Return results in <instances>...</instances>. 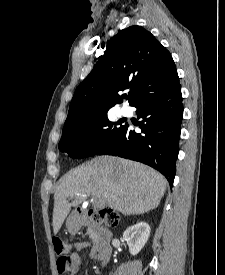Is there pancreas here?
Wrapping results in <instances>:
<instances>
[{"label": "pancreas", "instance_id": "pancreas-1", "mask_svg": "<svg viewBox=\"0 0 225 275\" xmlns=\"http://www.w3.org/2000/svg\"><path fill=\"white\" fill-rule=\"evenodd\" d=\"M88 234L90 235L91 238H93V232L91 228L88 229Z\"/></svg>", "mask_w": 225, "mask_h": 275}]
</instances>
